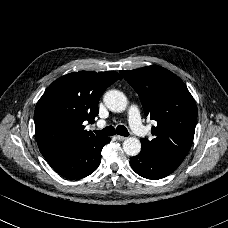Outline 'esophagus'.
Here are the masks:
<instances>
[{"mask_svg":"<svg viewBox=\"0 0 228 228\" xmlns=\"http://www.w3.org/2000/svg\"><path fill=\"white\" fill-rule=\"evenodd\" d=\"M116 138L119 141H124L127 137H124V136H121V135H117Z\"/></svg>","mask_w":228,"mask_h":228,"instance_id":"esophagus-1","label":"esophagus"}]
</instances>
